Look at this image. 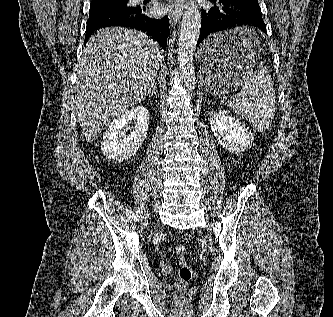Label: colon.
<instances>
[{
    "label": "colon",
    "instance_id": "1",
    "mask_svg": "<svg viewBox=\"0 0 333 317\" xmlns=\"http://www.w3.org/2000/svg\"><path fill=\"white\" fill-rule=\"evenodd\" d=\"M175 254L181 263L178 278L176 281V287L180 291H185L188 287L190 280L193 277L192 268L186 262V257H187L186 247L183 245H177L175 247Z\"/></svg>",
    "mask_w": 333,
    "mask_h": 317
}]
</instances>
